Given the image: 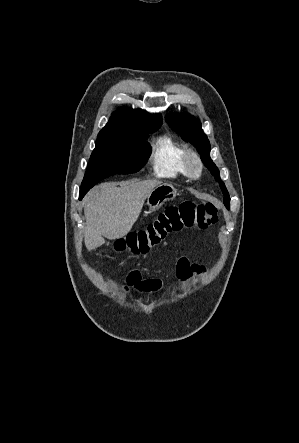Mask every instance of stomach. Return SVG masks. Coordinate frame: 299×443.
<instances>
[{
	"instance_id": "0dacf381",
	"label": "stomach",
	"mask_w": 299,
	"mask_h": 443,
	"mask_svg": "<svg viewBox=\"0 0 299 443\" xmlns=\"http://www.w3.org/2000/svg\"><path fill=\"white\" fill-rule=\"evenodd\" d=\"M176 195L177 190L171 184L164 183L156 186L147 197L149 211L158 210L167 200L174 199Z\"/></svg>"
}]
</instances>
